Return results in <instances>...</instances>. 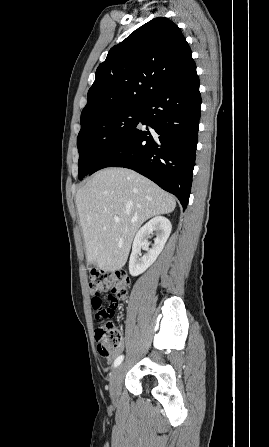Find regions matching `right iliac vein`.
<instances>
[{
	"mask_svg": "<svg viewBox=\"0 0 269 447\" xmlns=\"http://www.w3.org/2000/svg\"><path fill=\"white\" fill-rule=\"evenodd\" d=\"M124 372L123 366L119 365L112 373L110 377V395L113 403L118 401L120 394V385Z\"/></svg>",
	"mask_w": 269,
	"mask_h": 447,
	"instance_id": "obj_1",
	"label": "right iliac vein"
}]
</instances>
